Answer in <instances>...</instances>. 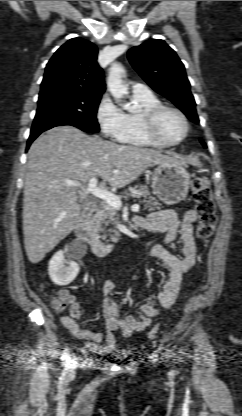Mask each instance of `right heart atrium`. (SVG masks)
Masks as SVG:
<instances>
[{
    "instance_id": "1",
    "label": "right heart atrium",
    "mask_w": 242,
    "mask_h": 416,
    "mask_svg": "<svg viewBox=\"0 0 242 416\" xmlns=\"http://www.w3.org/2000/svg\"><path fill=\"white\" fill-rule=\"evenodd\" d=\"M96 119L102 133L120 141L126 132V114L109 96H104L98 104Z\"/></svg>"
}]
</instances>
